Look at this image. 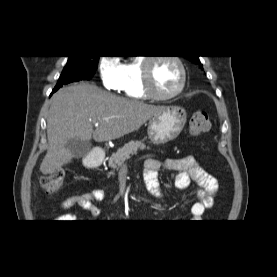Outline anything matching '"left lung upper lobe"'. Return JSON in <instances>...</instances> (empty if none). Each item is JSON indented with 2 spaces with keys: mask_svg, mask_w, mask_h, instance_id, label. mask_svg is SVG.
<instances>
[{
  "mask_svg": "<svg viewBox=\"0 0 277 277\" xmlns=\"http://www.w3.org/2000/svg\"><path fill=\"white\" fill-rule=\"evenodd\" d=\"M187 58H188L191 62H193V63H195V64H198L200 67H203V65L201 64V62H200L198 56H191V57H188V56H187Z\"/></svg>",
  "mask_w": 277,
  "mask_h": 277,
  "instance_id": "obj_1",
  "label": "left lung upper lobe"
}]
</instances>
